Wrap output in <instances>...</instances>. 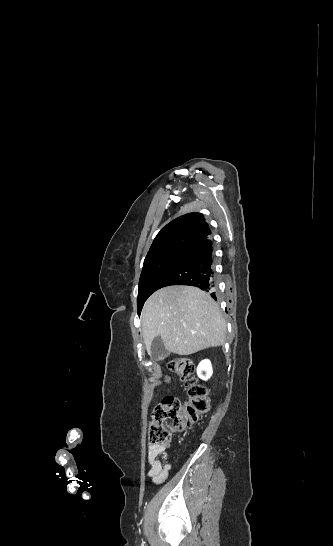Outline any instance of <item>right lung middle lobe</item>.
I'll return each instance as SVG.
<instances>
[{"instance_id":"dd1d6c3e","label":"right lung middle lobe","mask_w":333,"mask_h":546,"mask_svg":"<svg viewBox=\"0 0 333 546\" xmlns=\"http://www.w3.org/2000/svg\"><path fill=\"white\" fill-rule=\"evenodd\" d=\"M188 251L189 248H169L145 258L138 287L139 313L146 299L156 290L160 277Z\"/></svg>"}]
</instances>
